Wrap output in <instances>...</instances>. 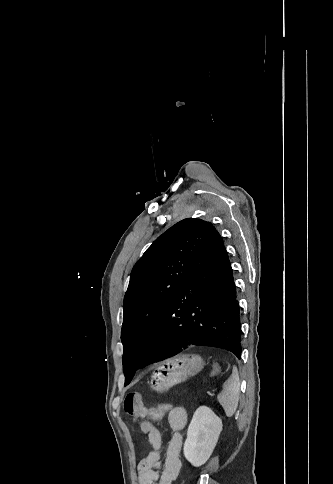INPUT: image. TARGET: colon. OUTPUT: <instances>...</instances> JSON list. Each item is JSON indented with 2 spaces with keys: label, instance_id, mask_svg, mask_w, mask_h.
I'll use <instances>...</instances> for the list:
<instances>
[{
  "label": "colon",
  "instance_id": "1",
  "mask_svg": "<svg viewBox=\"0 0 333 484\" xmlns=\"http://www.w3.org/2000/svg\"><path fill=\"white\" fill-rule=\"evenodd\" d=\"M214 374L218 373V368L215 367L213 370ZM175 406H173L170 403H164L160 404L157 407H149V416L153 420H159L161 419L165 414H167L171 409H173Z\"/></svg>",
  "mask_w": 333,
  "mask_h": 484
}]
</instances>
